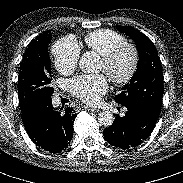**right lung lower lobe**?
<instances>
[{
    "mask_svg": "<svg viewBox=\"0 0 183 183\" xmlns=\"http://www.w3.org/2000/svg\"><path fill=\"white\" fill-rule=\"evenodd\" d=\"M20 109L24 127L38 147L51 153L67 148L73 138V121L77 116L72 108L56 111L49 98L32 100Z\"/></svg>",
    "mask_w": 183,
    "mask_h": 183,
    "instance_id": "obj_1",
    "label": "right lung lower lobe"
}]
</instances>
